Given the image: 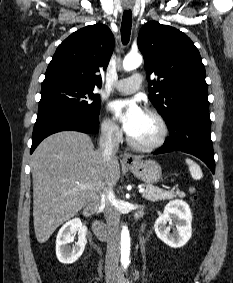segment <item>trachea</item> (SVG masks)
<instances>
[{
	"label": "trachea",
	"instance_id": "obj_1",
	"mask_svg": "<svg viewBox=\"0 0 233 283\" xmlns=\"http://www.w3.org/2000/svg\"><path fill=\"white\" fill-rule=\"evenodd\" d=\"M132 26V14L131 10H125L123 13L122 23H121V39L124 45H127L130 39Z\"/></svg>",
	"mask_w": 233,
	"mask_h": 283
}]
</instances>
